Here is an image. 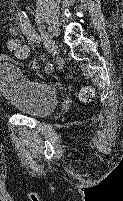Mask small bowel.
Instances as JSON below:
<instances>
[{
  "mask_svg": "<svg viewBox=\"0 0 123 201\" xmlns=\"http://www.w3.org/2000/svg\"><path fill=\"white\" fill-rule=\"evenodd\" d=\"M8 34L10 37H16L18 35L17 27L15 25L10 26L8 29ZM0 61H7V62L14 63V60L11 57L3 53H0Z\"/></svg>",
  "mask_w": 123,
  "mask_h": 201,
  "instance_id": "small-bowel-1",
  "label": "small bowel"
}]
</instances>
